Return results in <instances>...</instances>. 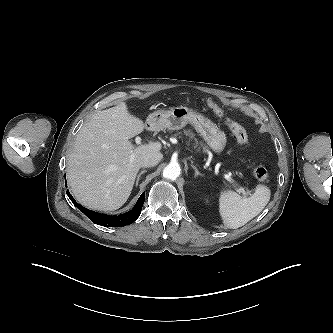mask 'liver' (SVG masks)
<instances>
[{
  "mask_svg": "<svg viewBox=\"0 0 333 333\" xmlns=\"http://www.w3.org/2000/svg\"><path fill=\"white\" fill-rule=\"evenodd\" d=\"M144 128L123 103L94 113L83 125L67 162L68 184L79 203L114 211L127 201L142 157L162 148L159 142L137 147L130 142Z\"/></svg>",
  "mask_w": 333,
  "mask_h": 333,
  "instance_id": "obj_1",
  "label": "liver"
}]
</instances>
